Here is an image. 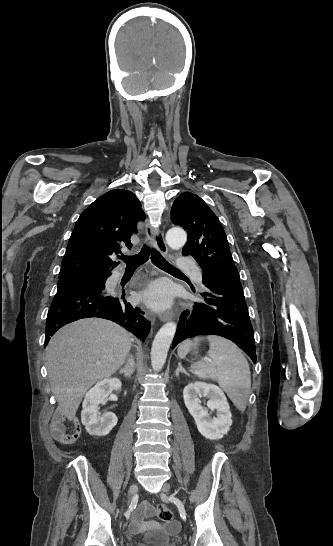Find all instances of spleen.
Masks as SVG:
<instances>
[{
    "instance_id": "spleen-1",
    "label": "spleen",
    "mask_w": 333,
    "mask_h": 546,
    "mask_svg": "<svg viewBox=\"0 0 333 546\" xmlns=\"http://www.w3.org/2000/svg\"><path fill=\"white\" fill-rule=\"evenodd\" d=\"M202 339L204 338L183 341L178 347V356L185 358L194 342ZM206 339L210 345L208 357L191 365L194 374L202 379L216 380L236 408L244 411L251 387L250 368L246 358L241 350L226 338L212 335Z\"/></svg>"
}]
</instances>
